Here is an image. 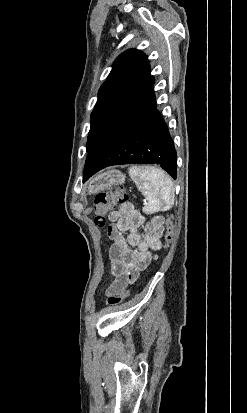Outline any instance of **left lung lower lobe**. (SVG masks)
I'll use <instances>...</instances> for the list:
<instances>
[{"label": "left lung lower lobe", "mask_w": 247, "mask_h": 413, "mask_svg": "<svg viewBox=\"0 0 247 413\" xmlns=\"http://www.w3.org/2000/svg\"><path fill=\"white\" fill-rule=\"evenodd\" d=\"M154 84L117 119L89 150L83 182L99 170L120 164H158L176 179V151L156 109Z\"/></svg>", "instance_id": "0a47b994"}]
</instances>
